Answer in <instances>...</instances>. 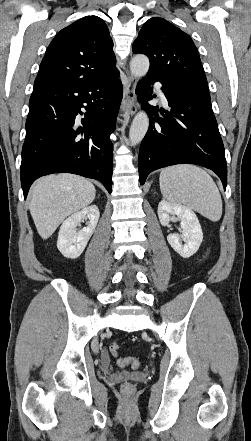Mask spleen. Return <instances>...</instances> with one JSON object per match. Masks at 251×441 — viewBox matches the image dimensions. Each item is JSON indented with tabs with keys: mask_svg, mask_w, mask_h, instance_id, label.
I'll list each match as a JSON object with an SVG mask.
<instances>
[{
	"mask_svg": "<svg viewBox=\"0 0 251 441\" xmlns=\"http://www.w3.org/2000/svg\"><path fill=\"white\" fill-rule=\"evenodd\" d=\"M159 184L170 203L184 204L213 222L220 220L221 195L204 169L190 164L170 166L161 171Z\"/></svg>",
	"mask_w": 251,
	"mask_h": 441,
	"instance_id": "3e777b00",
	"label": "spleen"
}]
</instances>
